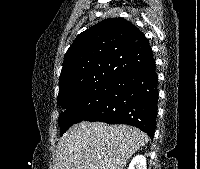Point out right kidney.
I'll return each instance as SVG.
<instances>
[{
    "label": "right kidney",
    "mask_w": 200,
    "mask_h": 169,
    "mask_svg": "<svg viewBox=\"0 0 200 169\" xmlns=\"http://www.w3.org/2000/svg\"><path fill=\"white\" fill-rule=\"evenodd\" d=\"M128 169H147L146 158L142 155L135 156L129 164Z\"/></svg>",
    "instance_id": "obj_1"
}]
</instances>
